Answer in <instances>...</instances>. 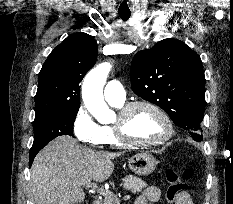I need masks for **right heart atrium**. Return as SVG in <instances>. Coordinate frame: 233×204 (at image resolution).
Wrapping results in <instances>:
<instances>
[{"mask_svg":"<svg viewBox=\"0 0 233 204\" xmlns=\"http://www.w3.org/2000/svg\"><path fill=\"white\" fill-rule=\"evenodd\" d=\"M72 131L76 139L84 145L97 147L103 144L101 126L94 121L83 105L75 112Z\"/></svg>","mask_w":233,"mask_h":204,"instance_id":"d8ad5b80","label":"right heart atrium"}]
</instances>
